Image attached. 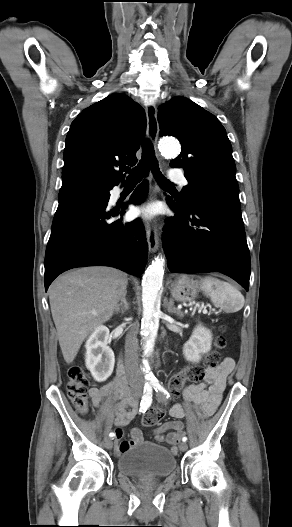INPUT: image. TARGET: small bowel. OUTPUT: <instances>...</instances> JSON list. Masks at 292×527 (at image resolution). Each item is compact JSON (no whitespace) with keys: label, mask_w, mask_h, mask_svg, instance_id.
Here are the masks:
<instances>
[{"label":"small bowel","mask_w":292,"mask_h":527,"mask_svg":"<svg viewBox=\"0 0 292 527\" xmlns=\"http://www.w3.org/2000/svg\"><path fill=\"white\" fill-rule=\"evenodd\" d=\"M233 367V360L225 358L218 367L206 371V383L192 384L184 388L183 397L185 401L193 404L203 418L211 416L216 411L226 386L227 376ZM89 395L95 406H98L103 400L115 402V424L118 427L116 437L119 440L123 435L122 428L126 427L137 413V402L131 398L126 383L117 377L102 387L92 388ZM169 413L174 420L159 425L153 433L156 441L163 442L165 440L164 433L170 431L167 434V441L175 446L184 428L181 421L185 415L184 406L177 403L171 407ZM142 440V431L133 429L132 439L118 443L116 452L120 454L142 442ZM173 451H176L175 447Z\"/></svg>","instance_id":"c3829d8e"}]
</instances>
